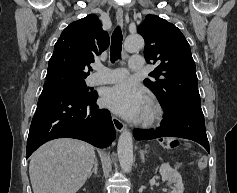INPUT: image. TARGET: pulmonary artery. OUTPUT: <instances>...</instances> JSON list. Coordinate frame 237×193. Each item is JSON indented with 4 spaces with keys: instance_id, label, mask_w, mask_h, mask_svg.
Masks as SVG:
<instances>
[{
    "instance_id": "obj_1",
    "label": "pulmonary artery",
    "mask_w": 237,
    "mask_h": 193,
    "mask_svg": "<svg viewBox=\"0 0 237 193\" xmlns=\"http://www.w3.org/2000/svg\"><path fill=\"white\" fill-rule=\"evenodd\" d=\"M144 59L142 57L133 56L129 59V69L132 71H140L143 69ZM97 73L90 77V85H101L107 83H115L122 81L128 74L124 68H107L102 65H96Z\"/></svg>"
}]
</instances>
